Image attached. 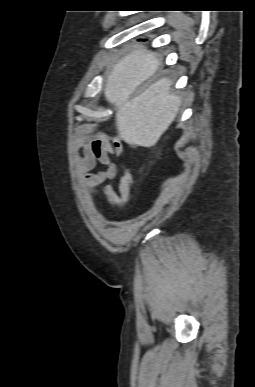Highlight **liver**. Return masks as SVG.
<instances>
[{"label": "liver", "instance_id": "6515ba94", "mask_svg": "<svg viewBox=\"0 0 255 387\" xmlns=\"http://www.w3.org/2000/svg\"><path fill=\"white\" fill-rule=\"evenodd\" d=\"M159 65L154 52L139 48L120 59L107 77L104 96L116 107L118 137L131 145L154 146L181 106V98L172 92L169 78H161L140 95L131 97Z\"/></svg>", "mask_w": 255, "mask_h": 387}]
</instances>
